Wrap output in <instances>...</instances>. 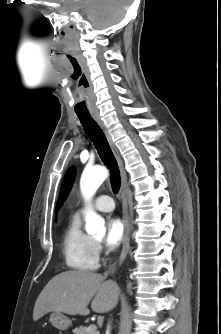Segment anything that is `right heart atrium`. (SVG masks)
Wrapping results in <instances>:
<instances>
[{
  "label": "right heart atrium",
  "mask_w": 221,
  "mask_h": 334,
  "mask_svg": "<svg viewBox=\"0 0 221 334\" xmlns=\"http://www.w3.org/2000/svg\"><path fill=\"white\" fill-rule=\"evenodd\" d=\"M97 249H98V252L100 253V252H102L103 247L100 244H97Z\"/></svg>",
  "instance_id": "obj_1"
}]
</instances>
